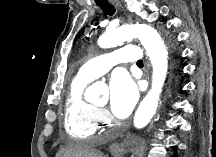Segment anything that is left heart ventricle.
<instances>
[{"instance_id":"1","label":"left heart ventricle","mask_w":216,"mask_h":157,"mask_svg":"<svg viewBox=\"0 0 216 157\" xmlns=\"http://www.w3.org/2000/svg\"><path fill=\"white\" fill-rule=\"evenodd\" d=\"M106 101V98L103 99V101L100 102V105H103Z\"/></svg>"}]
</instances>
